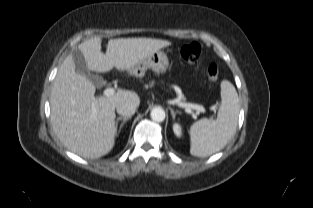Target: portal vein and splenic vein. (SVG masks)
<instances>
[{
    "mask_svg": "<svg viewBox=\"0 0 313 208\" xmlns=\"http://www.w3.org/2000/svg\"><path fill=\"white\" fill-rule=\"evenodd\" d=\"M103 94L106 97L113 96L115 94V89L114 88H107L104 90ZM176 104L179 107L185 108L187 110V113H190L191 109L197 110L198 112H201V113L206 112V109L202 105H199V104L183 103V102H176ZM211 109L215 110V106L211 107Z\"/></svg>",
    "mask_w": 313,
    "mask_h": 208,
    "instance_id": "obj_1",
    "label": "portal vein and splenic vein"
}]
</instances>
